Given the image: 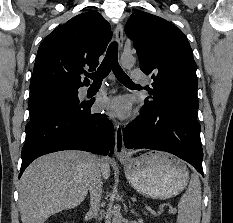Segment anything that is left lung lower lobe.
<instances>
[{
	"label": "left lung lower lobe",
	"mask_w": 233,
	"mask_h": 223,
	"mask_svg": "<svg viewBox=\"0 0 233 223\" xmlns=\"http://www.w3.org/2000/svg\"><path fill=\"white\" fill-rule=\"evenodd\" d=\"M127 148H147L172 153L190 163L203 176V150L197 112L166 110L140 115L124 130Z\"/></svg>",
	"instance_id": "obj_1"
}]
</instances>
